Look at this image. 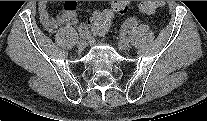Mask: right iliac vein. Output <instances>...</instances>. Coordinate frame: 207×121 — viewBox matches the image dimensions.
<instances>
[{"label":"right iliac vein","instance_id":"1","mask_svg":"<svg viewBox=\"0 0 207 121\" xmlns=\"http://www.w3.org/2000/svg\"><path fill=\"white\" fill-rule=\"evenodd\" d=\"M87 46V42L85 40H80L77 43V48L79 51H83Z\"/></svg>","mask_w":207,"mask_h":121}]
</instances>
